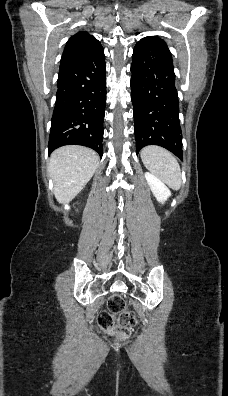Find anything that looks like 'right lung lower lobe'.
I'll return each mask as SVG.
<instances>
[{"instance_id": "right-lung-lower-lobe-1", "label": "right lung lower lobe", "mask_w": 228, "mask_h": 396, "mask_svg": "<svg viewBox=\"0 0 228 396\" xmlns=\"http://www.w3.org/2000/svg\"><path fill=\"white\" fill-rule=\"evenodd\" d=\"M49 136V153L77 144L103 155L106 106V64L99 46L80 57L61 62Z\"/></svg>"}]
</instances>
